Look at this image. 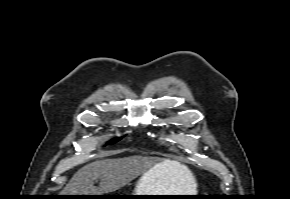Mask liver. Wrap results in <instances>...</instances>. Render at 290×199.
Instances as JSON below:
<instances>
[{"instance_id":"1","label":"liver","mask_w":290,"mask_h":199,"mask_svg":"<svg viewBox=\"0 0 290 199\" xmlns=\"http://www.w3.org/2000/svg\"><path fill=\"white\" fill-rule=\"evenodd\" d=\"M158 166V174L170 192L189 190L194 182L187 166L165 159L159 163L153 158L130 156L117 159H102L89 163L79 169L62 190V195H102L116 191L137 176ZM100 179L99 187L94 181Z\"/></svg>"}]
</instances>
